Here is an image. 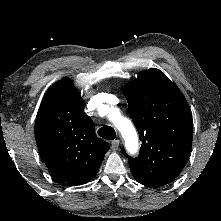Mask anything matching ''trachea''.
<instances>
[{
    "instance_id": "trachea-1",
    "label": "trachea",
    "mask_w": 221,
    "mask_h": 221,
    "mask_svg": "<svg viewBox=\"0 0 221 221\" xmlns=\"http://www.w3.org/2000/svg\"><path fill=\"white\" fill-rule=\"evenodd\" d=\"M98 135L104 139L113 140L116 137L115 130L110 126H103L98 130Z\"/></svg>"
}]
</instances>
